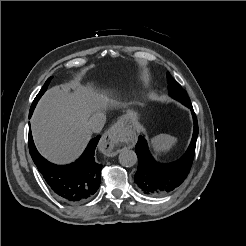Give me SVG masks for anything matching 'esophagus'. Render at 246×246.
I'll use <instances>...</instances> for the list:
<instances>
[{"label":"esophagus","mask_w":246,"mask_h":246,"mask_svg":"<svg viewBox=\"0 0 246 246\" xmlns=\"http://www.w3.org/2000/svg\"><path fill=\"white\" fill-rule=\"evenodd\" d=\"M122 127L118 124L105 132L99 143V150L106 156H115L119 153L117 146L122 141Z\"/></svg>","instance_id":"esophagus-1"}]
</instances>
